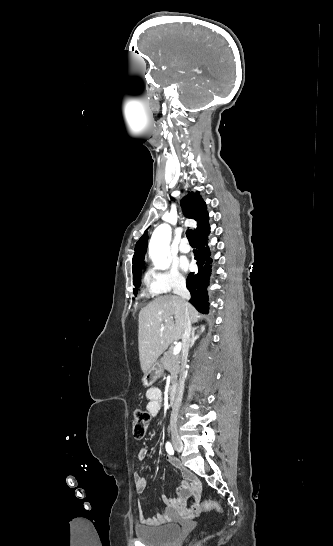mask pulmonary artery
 Segmentation results:
<instances>
[{
	"instance_id": "obj_1",
	"label": "pulmonary artery",
	"mask_w": 333,
	"mask_h": 546,
	"mask_svg": "<svg viewBox=\"0 0 333 546\" xmlns=\"http://www.w3.org/2000/svg\"><path fill=\"white\" fill-rule=\"evenodd\" d=\"M179 250L182 253H188L190 251V246L186 239L181 240L179 244Z\"/></svg>"
}]
</instances>
